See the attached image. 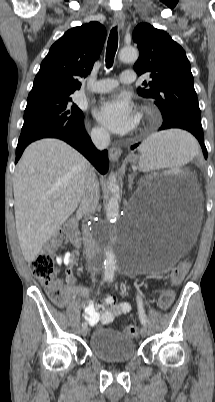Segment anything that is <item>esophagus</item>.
<instances>
[{"mask_svg": "<svg viewBox=\"0 0 215 402\" xmlns=\"http://www.w3.org/2000/svg\"><path fill=\"white\" fill-rule=\"evenodd\" d=\"M114 23L122 26L125 20V14L122 11H117L114 13ZM122 154V150L117 147H112L109 150V158L112 162H118L120 156Z\"/></svg>", "mask_w": 215, "mask_h": 402, "instance_id": "1", "label": "esophagus"}]
</instances>
